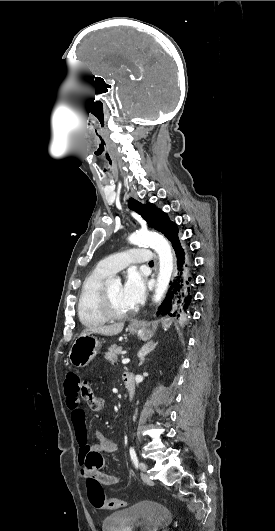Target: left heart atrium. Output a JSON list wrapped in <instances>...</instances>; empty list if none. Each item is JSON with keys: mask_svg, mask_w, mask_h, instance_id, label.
I'll list each match as a JSON object with an SVG mask.
<instances>
[{"mask_svg": "<svg viewBox=\"0 0 275 531\" xmlns=\"http://www.w3.org/2000/svg\"><path fill=\"white\" fill-rule=\"evenodd\" d=\"M145 284L146 278L138 269L132 268L126 272L122 294L131 308H135L141 303L145 294Z\"/></svg>", "mask_w": 275, "mask_h": 531, "instance_id": "left-heart-atrium-1", "label": "left heart atrium"}]
</instances>
